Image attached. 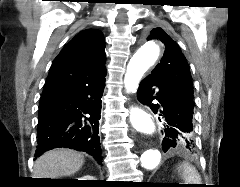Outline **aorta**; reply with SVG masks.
<instances>
[{"mask_svg":"<svg viewBox=\"0 0 240 187\" xmlns=\"http://www.w3.org/2000/svg\"><path fill=\"white\" fill-rule=\"evenodd\" d=\"M159 54V45L155 42H147L133 55L124 77L127 92H136L142 76L156 62ZM130 121L134 129L144 135H152L155 131V124L150 114L141 109L131 110ZM161 157L159 149L148 148L141 154V165L144 169L152 170L160 164Z\"/></svg>","mask_w":240,"mask_h":187,"instance_id":"762f6f07","label":"aorta"}]
</instances>
